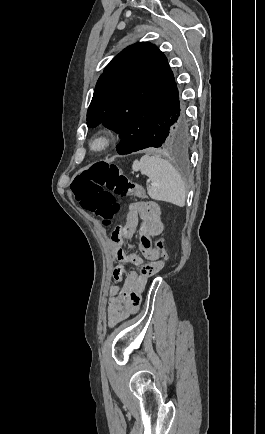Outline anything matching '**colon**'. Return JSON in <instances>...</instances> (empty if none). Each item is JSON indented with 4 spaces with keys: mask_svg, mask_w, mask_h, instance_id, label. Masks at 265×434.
<instances>
[{
    "mask_svg": "<svg viewBox=\"0 0 265 434\" xmlns=\"http://www.w3.org/2000/svg\"><path fill=\"white\" fill-rule=\"evenodd\" d=\"M85 172H76L73 183L77 193H71V202H79L87 211L93 212L101 221L111 224L119 212L115 195L141 197L144 189L121 172L118 165L87 164ZM160 248L161 261H166L165 240L158 236L155 248Z\"/></svg>",
    "mask_w": 265,
    "mask_h": 434,
    "instance_id": "1",
    "label": "colon"
}]
</instances>
